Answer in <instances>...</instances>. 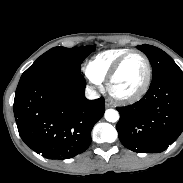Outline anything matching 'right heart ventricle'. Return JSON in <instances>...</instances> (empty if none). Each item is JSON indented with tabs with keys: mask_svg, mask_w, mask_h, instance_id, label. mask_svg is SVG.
<instances>
[{
	"mask_svg": "<svg viewBox=\"0 0 183 183\" xmlns=\"http://www.w3.org/2000/svg\"><path fill=\"white\" fill-rule=\"evenodd\" d=\"M129 49L117 48L99 52L89 62V69L100 80L106 78L108 71L114 62Z\"/></svg>",
	"mask_w": 183,
	"mask_h": 183,
	"instance_id": "1",
	"label": "right heart ventricle"
}]
</instances>
